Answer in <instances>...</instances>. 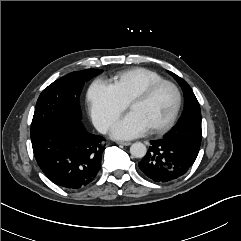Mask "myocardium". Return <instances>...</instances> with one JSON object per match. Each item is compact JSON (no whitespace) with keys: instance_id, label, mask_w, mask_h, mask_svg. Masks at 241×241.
<instances>
[{"instance_id":"f54148a6","label":"myocardium","mask_w":241,"mask_h":241,"mask_svg":"<svg viewBox=\"0 0 241 241\" xmlns=\"http://www.w3.org/2000/svg\"><path fill=\"white\" fill-rule=\"evenodd\" d=\"M162 86H170L174 90L175 95H176V104H175V108L173 110L171 117L165 124L151 128V130L155 133L167 132L176 123L180 110H181V106H182V94H181L179 87L175 83H173L169 80L157 81V82L149 84L144 89H142L140 92L135 94L128 103L129 108H131V106L136 102L146 101L153 95V93L157 89H159Z\"/></svg>"}]
</instances>
